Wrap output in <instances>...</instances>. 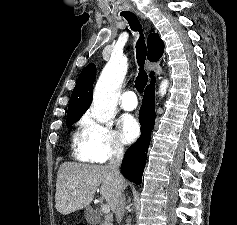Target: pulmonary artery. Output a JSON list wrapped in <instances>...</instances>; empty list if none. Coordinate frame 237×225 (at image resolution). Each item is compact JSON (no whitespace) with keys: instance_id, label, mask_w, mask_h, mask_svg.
Masks as SVG:
<instances>
[{"instance_id":"pulmonary-artery-1","label":"pulmonary artery","mask_w":237,"mask_h":225,"mask_svg":"<svg viewBox=\"0 0 237 225\" xmlns=\"http://www.w3.org/2000/svg\"><path fill=\"white\" fill-rule=\"evenodd\" d=\"M137 98L134 92L127 91L125 92L120 101V105L124 110L132 111L137 107Z\"/></svg>"}]
</instances>
